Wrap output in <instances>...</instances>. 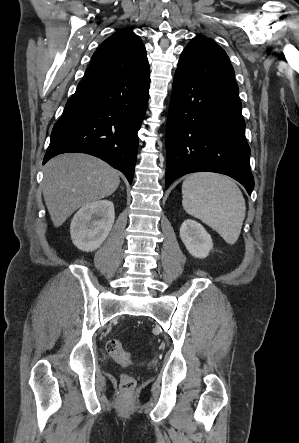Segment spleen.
Here are the masks:
<instances>
[{
	"label": "spleen",
	"mask_w": 299,
	"mask_h": 443,
	"mask_svg": "<svg viewBox=\"0 0 299 443\" xmlns=\"http://www.w3.org/2000/svg\"><path fill=\"white\" fill-rule=\"evenodd\" d=\"M184 210L216 230L229 244L240 235L246 206L233 180L226 176L192 174L182 184Z\"/></svg>",
	"instance_id": "spleen-1"
}]
</instances>
